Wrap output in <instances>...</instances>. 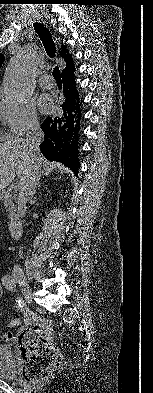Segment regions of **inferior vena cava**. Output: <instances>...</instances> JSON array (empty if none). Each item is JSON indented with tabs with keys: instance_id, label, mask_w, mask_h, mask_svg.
Returning a JSON list of instances; mask_svg holds the SVG:
<instances>
[{
	"instance_id": "1",
	"label": "inferior vena cava",
	"mask_w": 153,
	"mask_h": 393,
	"mask_svg": "<svg viewBox=\"0 0 153 393\" xmlns=\"http://www.w3.org/2000/svg\"><path fill=\"white\" fill-rule=\"evenodd\" d=\"M44 140V133L40 129L38 122L30 125L26 134V143L31 151L38 152L40 143ZM41 163H35L33 171L21 184L19 198H18V211L21 217L26 213V203L34 196L38 181L40 179ZM14 274H23L19 265L13 268Z\"/></svg>"
}]
</instances>
